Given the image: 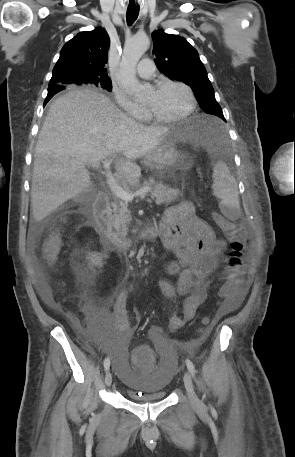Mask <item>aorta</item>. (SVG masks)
<instances>
[{
	"label": "aorta",
	"instance_id": "aorta-1",
	"mask_svg": "<svg viewBox=\"0 0 295 457\" xmlns=\"http://www.w3.org/2000/svg\"><path fill=\"white\" fill-rule=\"evenodd\" d=\"M150 41L145 35H136L125 42L120 63V83L123 89L138 98L145 93L144 86L136 78V65L147 51Z\"/></svg>",
	"mask_w": 295,
	"mask_h": 457
}]
</instances>
